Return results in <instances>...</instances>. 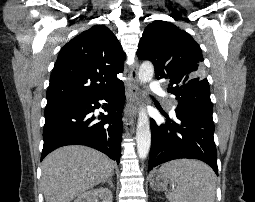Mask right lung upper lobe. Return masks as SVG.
Here are the masks:
<instances>
[{
  "label": "right lung upper lobe",
  "mask_w": 255,
  "mask_h": 202,
  "mask_svg": "<svg viewBox=\"0 0 255 202\" xmlns=\"http://www.w3.org/2000/svg\"><path fill=\"white\" fill-rule=\"evenodd\" d=\"M126 56L116 36L95 25L68 42L59 52L47 90V106L91 96L122 83Z\"/></svg>",
  "instance_id": "1"
}]
</instances>
